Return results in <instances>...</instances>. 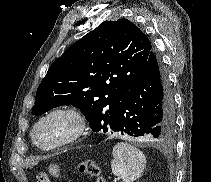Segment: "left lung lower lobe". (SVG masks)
I'll list each match as a JSON object with an SVG mask.
<instances>
[{"label":"left lung lower lobe","mask_w":211,"mask_h":182,"mask_svg":"<svg viewBox=\"0 0 211 182\" xmlns=\"http://www.w3.org/2000/svg\"><path fill=\"white\" fill-rule=\"evenodd\" d=\"M174 122L168 75L161 59L151 51L138 80L120 104L112 131L153 140L169 134Z\"/></svg>","instance_id":"obj_1"}]
</instances>
